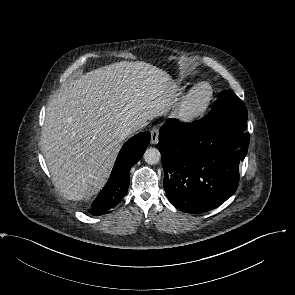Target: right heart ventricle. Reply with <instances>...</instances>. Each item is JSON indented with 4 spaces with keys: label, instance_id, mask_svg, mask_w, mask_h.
<instances>
[{
    "label": "right heart ventricle",
    "instance_id": "obj_1",
    "mask_svg": "<svg viewBox=\"0 0 295 295\" xmlns=\"http://www.w3.org/2000/svg\"><path fill=\"white\" fill-rule=\"evenodd\" d=\"M178 85H179V82H177V83L175 84V87H178Z\"/></svg>",
    "mask_w": 295,
    "mask_h": 295
}]
</instances>
